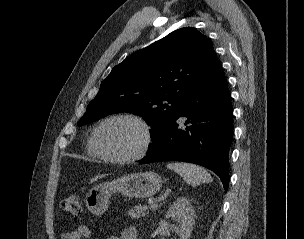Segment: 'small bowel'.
<instances>
[{
  "label": "small bowel",
  "mask_w": 304,
  "mask_h": 239,
  "mask_svg": "<svg viewBox=\"0 0 304 239\" xmlns=\"http://www.w3.org/2000/svg\"><path fill=\"white\" fill-rule=\"evenodd\" d=\"M89 237L90 230L84 225L61 234V239H84ZM107 239H136V229L133 227L125 228L119 235H112Z\"/></svg>",
  "instance_id": "small-bowel-1"
}]
</instances>
